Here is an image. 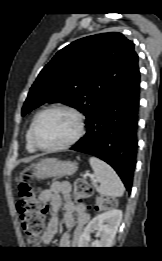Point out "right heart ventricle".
<instances>
[{
	"label": "right heart ventricle",
	"instance_id": "right-heart-ventricle-1",
	"mask_svg": "<svg viewBox=\"0 0 162 261\" xmlns=\"http://www.w3.org/2000/svg\"><path fill=\"white\" fill-rule=\"evenodd\" d=\"M31 127H32V123L30 124V126L26 132V148L29 152H35L36 148L33 146L32 142H31Z\"/></svg>",
	"mask_w": 162,
	"mask_h": 261
}]
</instances>
